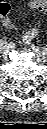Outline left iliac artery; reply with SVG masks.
Segmentation results:
<instances>
[{"label":"left iliac artery","instance_id":"left-iliac-artery-1","mask_svg":"<svg viewBox=\"0 0 47 129\" xmlns=\"http://www.w3.org/2000/svg\"><path fill=\"white\" fill-rule=\"evenodd\" d=\"M37 33L35 29H33L31 32L28 33V37H34V35Z\"/></svg>","mask_w":47,"mask_h":129}]
</instances>
